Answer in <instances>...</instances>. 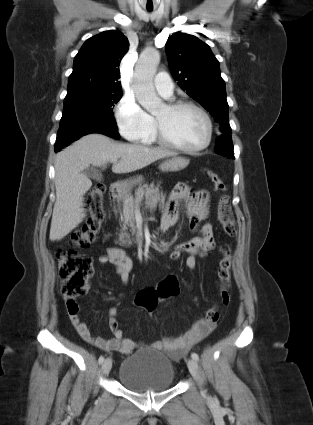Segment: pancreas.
<instances>
[{
  "instance_id": "obj_1",
  "label": "pancreas",
  "mask_w": 313,
  "mask_h": 425,
  "mask_svg": "<svg viewBox=\"0 0 313 425\" xmlns=\"http://www.w3.org/2000/svg\"><path fill=\"white\" fill-rule=\"evenodd\" d=\"M145 198V203L150 209H155L157 205H164L165 195L159 190V185L154 186L153 183L150 185L144 184L139 186L135 191V197L132 195H126L123 200V210L121 221L123 225L121 227V232L119 234L118 243L121 246L129 247L132 245V240L130 239V234L127 232L128 227L132 235L136 234V221H135V209L140 207V203ZM138 242V240L136 241Z\"/></svg>"
}]
</instances>
